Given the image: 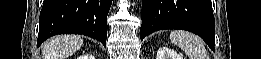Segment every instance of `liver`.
I'll use <instances>...</instances> for the list:
<instances>
[{"label": "liver", "instance_id": "obj_1", "mask_svg": "<svg viewBox=\"0 0 261 59\" xmlns=\"http://www.w3.org/2000/svg\"><path fill=\"white\" fill-rule=\"evenodd\" d=\"M83 45V39L76 35L55 36L42 46L43 59H66L78 51Z\"/></svg>", "mask_w": 261, "mask_h": 59}]
</instances>
